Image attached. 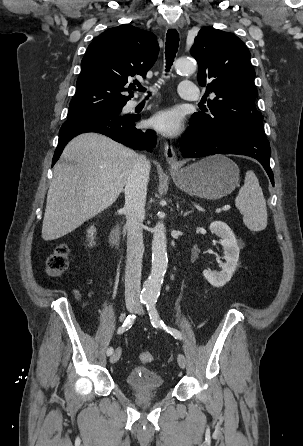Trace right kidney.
Here are the masks:
<instances>
[{
    "mask_svg": "<svg viewBox=\"0 0 303 446\" xmlns=\"http://www.w3.org/2000/svg\"><path fill=\"white\" fill-rule=\"evenodd\" d=\"M88 237L90 238V246H92V245H94V233L96 232V230H95V228L94 227H91L90 229H88Z\"/></svg>",
    "mask_w": 303,
    "mask_h": 446,
    "instance_id": "right-kidney-1",
    "label": "right kidney"
}]
</instances>
